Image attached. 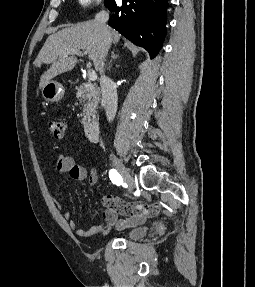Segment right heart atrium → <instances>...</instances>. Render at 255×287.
Segmentation results:
<instances>
[{
  "instance_id": "right-heart-atrium-1",
  "label": "right heart atrium",
  "mask_w": 255,
  "mask_h": 287,
  "mask_svg": "<svg viewBox=\"0 0 255 287\" xmlns=\"http://www.w3.org/2000/svg\"><path fill=\"white\" fill-rule=\"evenodd\" d=\"M66 48H83V47H66Z\"/></svg>"
}]
</instances>
